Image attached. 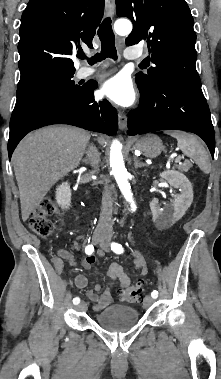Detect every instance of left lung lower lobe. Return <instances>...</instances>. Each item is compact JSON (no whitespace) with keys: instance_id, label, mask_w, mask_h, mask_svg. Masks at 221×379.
<instances>
[{"instance_id":"obj_1","label":"left lung lower lobe","mask_w":221,"mask_h":379,"mask_svg":"<svg viewBox=\"0 0 221 379\" xmlns=\"http://www.w3.org/2000/svg\"><path fill=\"white\" fill-rule=\"evenodd\" d=\"M138 88L140 104L128 114V135L171 129L189 131L200 136L214 155V128L201 86L155 78L149 86Z\"/></svg>"}]
</instances>
